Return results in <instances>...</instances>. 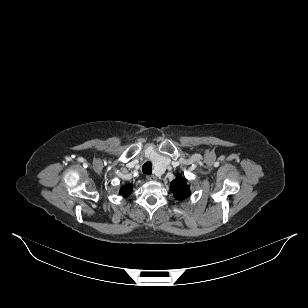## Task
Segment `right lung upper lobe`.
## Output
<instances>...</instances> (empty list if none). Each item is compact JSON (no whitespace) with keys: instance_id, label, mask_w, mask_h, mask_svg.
<instances>
[{"instance_id":"1","label":"right lung upper lobe","mask_w":308,"mask_h":308,"mask_svg":"<svg viewBox=\"0 0 308 308\" xmlns=\"http://www.w3.org/2000/svg\"><path fill=\"white\" fill-rule=\"evenodd\" d=\"M131 190H132L131 186H125L121 189L120 193H122L124 197H127L131 193Z\"/></svg>"}]
</instances>
